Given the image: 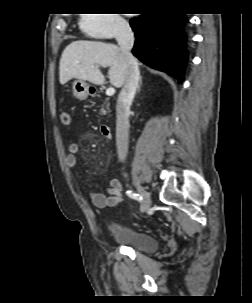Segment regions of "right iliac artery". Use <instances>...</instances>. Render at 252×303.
<instances>
[{"label": "right iliac artery", "instance_id": "obj_1", "mask_svg": "<svg viewBox=\"0 0 252 303\" xmlns=\"http://www.w3.org/2000/svg\"><path fill=\"white\" fill-rule=\"evenodd\" d=\"M126 194L128 197L132 198V199H135V200H138V201H141L142 200V197L139 196L138 194L136 193H133L132 191L128 190L126 191Z\"/></svg>", "mask_w": 252, "mask_h": 303}]
</instances>
